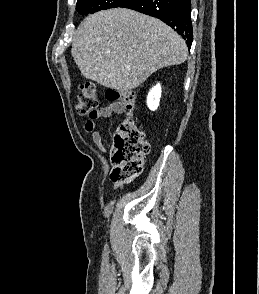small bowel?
<instances>
[{
    "instance_id": "small-bowel-1",
    "label": "small bowel",
    "mask_w": 259,
    "mask_h": 294,
    "mask_svg": "<svg viewBox=\"0 0 259 294\" xmlns=\"http://www.w3.org/2000/svg\"><path fill=\"white\" fill-rule=\"evenodd\" d=\"M125 110L124 106L118 101H111L109 104L97 109L93 116H90L84 125V129L87 133L91 134L92 141L101 150H105L106 146L102 137V134L96 130V121L99 119H108L114 114H121ZM123 188V183L115 182L113 184V190H119Z\"/></svg>"
}]
</instances>
